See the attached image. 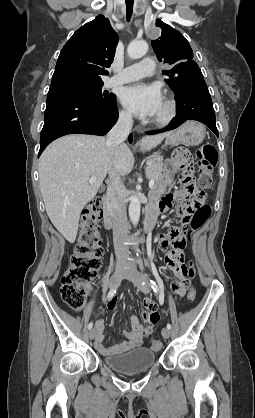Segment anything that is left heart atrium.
Masks as SVG:
<instances>
[{
  "mask_svg": "<svg viewBox=\"0 0 255 418\" xmlns=\"http://www.w3.org/2000/svg\"><path fill=\"white\" fill-rule=\"evenodd\" d=\"M122 104L138 117H151L158 113L163 98L156 85L136 83L126 87L121 94Z\"/></svg>",
  "mask_w": 255,
  "mask_h": 418,
  "instance_id": "1",
  "label": "left heart atrium"
}]
</instances>
